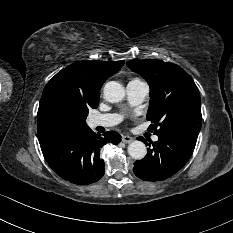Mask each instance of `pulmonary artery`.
<instances>
[{
    "label": "pulmonary artery",
    "instance_id": "obj_1",
    "mask_svg": "<svg viewBox=\"0 0 233 233\" xmlns=\"http://www.w3.org/2000/svg\"><path fill=\"white\" fill-rule=\"evenodd\" d=\"M148 91L149 89L147 84L139 79L131 80L126 87L128 99L133 105H137L143 102L148 94ZM119 121L120 116L116 114L97 115L91 119V123L95 127H111L118 124ZM157 140L158 136H153V141Z\"/></svg>",
    "mask_w": 233,
    "mask_h": 233
}]
</instances>
